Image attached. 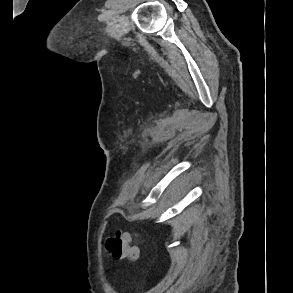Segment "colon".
<instances>
[{
	"label": "colon",
	"mask_w": 293,
	"mask_h": 293,
	"mask_svg": "<svg viewBox=\"0 0 293 293\" xmlns=\"http://www.w3.org/2000/svg\"><path fill=\"white\" fill-rule=\"evenodd\" d=\"M106 248L114 258L135 260L139 256L138 248L132 245L125 233H117L106 241Z\"/></svg>",
	"instance_id": "colon-1"
}]
</instances>
